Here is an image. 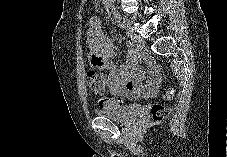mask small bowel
I'll list each match as a JSON object with an SVG mask.
<instances>
[{"label": "small bowel", "instance_id": "small-bowel-1", "mask_svg": "<svg viewBox=\"0 0 227 157\" xmlns=\"http://www.w3.org/2000/svg\"><path fill=\"white\" fill-rule=\"evenodd\" d=\"M87 46L90 53V62L93 67L105 70L108 75L103 77L104 88L111 94L122 95L129 99L152 96L159 85V76L156 67L148 64L146 80L141 74V56L133 45H128L127 61L117 68L111 60L115 50L112 41L105 35L101 23L93 18L90 21L87 33ZM94 62H100L95 64Z\"/></svg>", "mask_w": 227, "mask_h": 157}]
</instances>
